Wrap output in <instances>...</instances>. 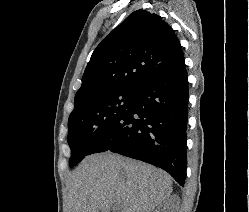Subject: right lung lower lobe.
<instances>
[{
    "mask_svg": "<svg viewBox=\"0 0 249 212\" xmlns=\"http://www.w3.org/2000/svg\"><path fill=\"white\" fill-rule=\"evenodd\" d=\"M188 79L184 59L141 86L131 105L90 154L111 151L167 171L180 185L186 179Z\"/></svg>",
    "mask_w": 249,
    "mask_h": 212,
    "instance_id": "right-lung-lower-lobe-1",
    "label": "right lung lower lobe"
}]
</instances>
